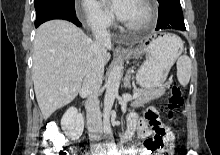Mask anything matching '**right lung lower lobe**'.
<instances>
[{
  "label": "right lung lower lobe",
  "mask_w": 220,
  "mask_h": 155,
  "mask_svg": "<svg viewBox=\"0 0 220 155\" xmlns=\"http://www.w3.org/2000/svg\"><path fill=\"white\" fill-rule=\"evenodd\" d=\"M53 19H64V20L71 21L78 27L82 26V24L79 22V20L76 17V13H69L66 11H53V12L47 13L45 15H42L36 18L35 27H38L42 23L49 21V20H53Z\"/></svg>",
  "instance_id": "1"
}]
</instances>
